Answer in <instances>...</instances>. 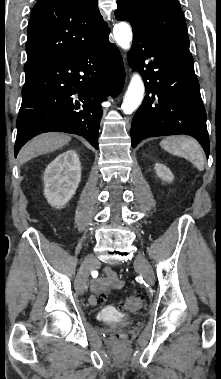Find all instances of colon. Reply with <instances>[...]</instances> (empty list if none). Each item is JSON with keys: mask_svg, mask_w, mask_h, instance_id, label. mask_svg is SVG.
<instances>
[{"mask_svg": "<svg viewBox=\"0 0 221 379\" xmlns=\"http://www.w3.org/2000/svg\"><path fill=\"white\" fill-rule=\"evenodd\" d=\"M104 300V297L101 296L99 298V302H103ZM143 297L141 295H138V294H132V295H129L127 297H125L122 302H121V307L123 310H126V311H135L137 309H139L142 304H143ZM113 338L114 339H122L123 338V334L121 333H114L113 334Z\"/></svg>", "mask_w": 221, "mask_h": 379, "instance_id": "5ec220e1", "label": "colon"}]
</instances>
